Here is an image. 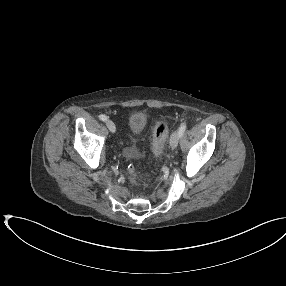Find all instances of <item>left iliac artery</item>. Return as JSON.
Here are the masks:
<instances>
[{
  "label": "left iliac artery",
  "mask_w": 286,
  "mask_h": 286,
  "mask_svg": "<svg viewBox=\"0 0 286 286\" xmlns=\"http://www.w3.org/2000/svg\"><path fill=\"white\" fill-rule=\"evenodd\" d=\"M186 127H187V126H186L185 123L181 124V126L179 127L178 132H179L180 137H181V136L183 135V133L185 132Z\"/></svg>",
  "instance_id": "1"
}]
</instances>
